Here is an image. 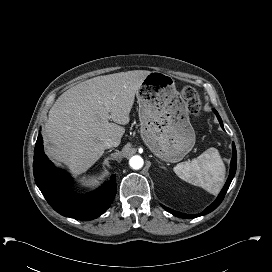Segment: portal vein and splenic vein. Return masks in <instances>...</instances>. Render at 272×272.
Segmentation results:
<instances>
[{"mask_svg":"<svg viewBox=\"0 0 272 272\" xmlns=\"http://www.w3.org/2000/svg\"><path fill=\"white\" fill-rule=\"evenodd\" d=\"M109 104H110V101H109L108 99H104V105H105L106 107H108Z\"/></svg>","mask_w":272,"mask_h":272,"instance_id":"1","label":"portal vein and splenic vein"}]
</instances>
